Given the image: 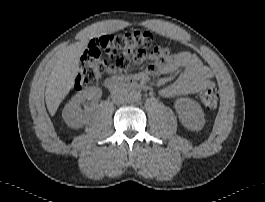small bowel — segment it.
I'll return each mask as SVG.
<instances>
[{
  "label": "small bowel",
  "instance_id": "obj_1",
  "mask_svg": "<svg viewBox=\"0 0 265 202\" xmlns=\"http://www.w3.org/2000/svg\"><path fill=\"white\" fill-rule=\"evenodd\" d=\"M96 42L97 39H92L88 42L86 54H88L89 49ZM180 68L184 69L183 73L178 79L162 89L161 96L173 98L180 95L192 94L213 85L211 81L212 71L195 54L188 51L172 55H167L162 51L161 56L157 57L147 67L146 73L153 76L168 75Z\"/></svg>",
  "mask_w": 265,
  "mask_h": 202
}]
</instances>
